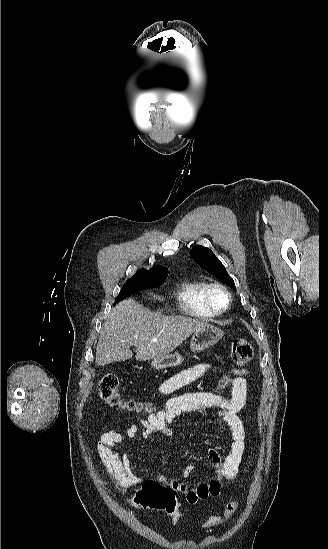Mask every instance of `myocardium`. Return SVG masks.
<instances>
[{"mask_svg": "<svg viewBox=\"0 0 328 549\" xmlns=\"http://www.w3.org/2000/svg\"><path fill=\"white\" fill-rule=\"evenodd\" d=\"M217 292H222L227 296V303L223 308L217 307L215 303L214 296ZM205 300L207 302V309L216 317L227 313L233 304V296L230 289L221 283H211L208 285L205 291Z\"/></svg>", "mask_w": 328, "mask_h": 549, "instance_id": "myocardium-1", "label": "myocardium"}]
</instances>
